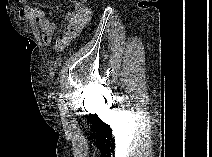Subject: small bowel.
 Segmentation results:
<instances>
[{
	"label": "small bowel",
	"instance_id": "small-bowel-1",
	"mask_svg": "<svg viewBox=\"0 0 212 157\" xmlns=\"http://www.w3.org/2000/svg\"><path fill=\"white\" fill-rule=\"evenodd\" d=\"M18 14L23 21L39 26L43 44L48 45L52 42L56 30V23L47 17L42 9L30 6L25 0H19ZM90 18L91 12L87 8L67 13V26L58 36L57 50L60 51L68 40L76 36ZM54 69L55 66L53 62H50V70L54 71Z\"/></svg>",
	"mask_w": 212,
	"mask_h": 157
}]
</instances>
